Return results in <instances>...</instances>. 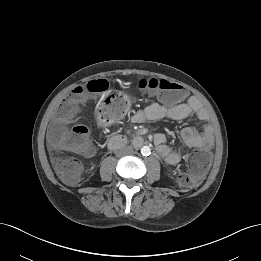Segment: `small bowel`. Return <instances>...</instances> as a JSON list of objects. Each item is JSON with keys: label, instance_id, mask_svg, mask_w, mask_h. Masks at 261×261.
Masks as SVG:
<instances>
[{"label": "small bowel", "instance_id": "1", "mask_svg": "<svg viewBox=\"0 0 261 261\" xmlns=\"http://www.w3.org/2000/svg\"><path fill=\"white\" fill-rule=\"evenodd\" d=\"M192 115L198 116L205 121L202 130L195 127H185L180 132V138L183 145L187 148L210 149L213 146L214 137L212 127L206 123V112L197 97H190L186 103L164 106L158 103H151L144 109L137 111L132 115V121L143 123L145 121L159 120H184ZM154 143L159 155L171 165L177 164L181 159L178 150L172 149L166 144V137L162 133L154 135Z\"/></svg>", "mask_w": 261, "mask_h": 261}]
</instances>
